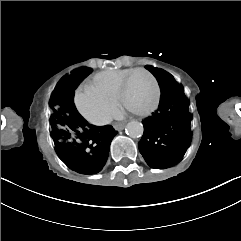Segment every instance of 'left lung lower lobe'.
I'll return each instance as SVG.
<instances>
[{
	"mask_svg": "<svg viewBox=\"0 0 241 241\" xmlns=\"http://www.w3.org/2000/svg\"><path fill=\"white\" fill-rule=\"evenodd\" d=\"M188 106L182 86L172 85L161 91L158 109L142 121L138 147L151 168H169L183 158L191 139Z\"/></svg>",
	"mask_w": 241,
	"mask_h": 241,
	"instance_id": "obj_1",
	"label": "left lung lower lobe"
}]
</instances>
